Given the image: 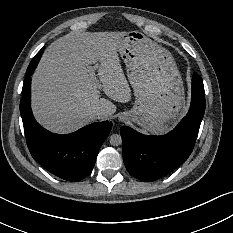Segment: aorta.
<instances>
[{"mask_svg": "<svg viewBox=\"0 0 233 233\" xmlns=\"http://www.w3.org/2000/svg\"><path fill=\"white\" fill-rule=\"evenodd\" d=\"M109 142L111 145L113 146H118L122 143V138L119 134H112L110 137H109Z\"/></svg>", "mask_w": 233, "mask_h": 233, "instance_id": "762f6f07", "label": "aorta"}]
</instances>
